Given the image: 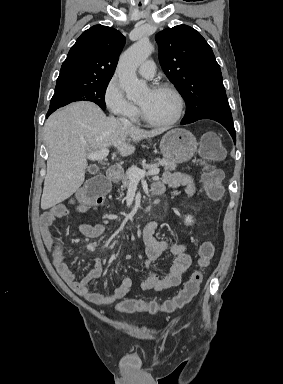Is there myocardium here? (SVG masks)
Listing matches in <instances>:
<instances>
[{"instance_id":"1","label":"myocardium","mask_w":283,"mask_h":384,"mask_svg":"<svg viewBox=\"0 0 283 384\" xmlns=\"http://www.w3.org/2000/svg\"><path fill=\"white\" fill-rule=\"evenodd\" d=\"M150 89L152 90H165V91H168L169 93H171L175 100H176V103H177V110H176V114L174 115V117L172 119H170L169 121H166V122H155V121H152L150 119H148L140 105H139V114H140V118L141 120L149 127H152V128H156V129H166V128H170L172 127L173 125H175L182 117L183 115V111H184V100H183V97L181 95V93L171 84H168V83H158V84H155L153 86L150 87Z\"/></svg>"}]
</instances>
